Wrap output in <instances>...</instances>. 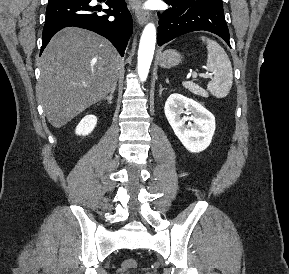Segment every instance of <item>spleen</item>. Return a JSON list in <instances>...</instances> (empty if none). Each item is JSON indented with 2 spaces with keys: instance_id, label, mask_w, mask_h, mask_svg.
Wrapping results in <instances>:
<instances>
[{
  "instance_id": "3e777b00",
  "label": "spleen",
  "mask_w": 289,
  "mask_h": 274,
  "mask_svg": "<svg viewBox=\"0 0 289 274\" xmlns=\"http://www.w3.org/2000/svg\"><path fill=\"white\" fill-rule=\"evenodd\" d=\"M207 43V69L214 77L207 84V89L217 98L228 95L233 83V71L230 59L224 49L214 40L201 37Z\"/></svg>"
}]
</instances>
